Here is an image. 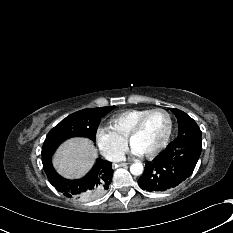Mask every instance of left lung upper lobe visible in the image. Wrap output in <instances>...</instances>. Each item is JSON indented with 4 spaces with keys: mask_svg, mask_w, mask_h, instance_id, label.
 <instances>
[{
    "mask_svg": "<svg viewBox=\"0 0 233 233\" xmlns=\"http://www.w3.org/2000/svg\"><path fill=\"white\" fill-rule=\"evenodd\" d=\"M170 110L177 117L179 133L178 137L169 145L186 147L201 146L202 133L196 122L188 114L179 109L170 108Z\"/></svg>",
    "mask_w": 233,
    "mask_h": 233,
    "instance_id": "1",
    "label": "left lung upper lobe"
}]
</instances>
